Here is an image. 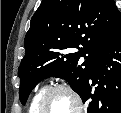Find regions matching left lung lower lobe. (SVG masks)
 Returning <instances> with one entry per match:
<instances>
[{
	"mask_svg": "<svg viewBox=\"0 0 121 113\" xmlns=\"http://www.w3.org/2000/svg\"><path fill=\"white\" fill-rule=\"evenodd\" d=\"M80 96L83 102L90 100L88 113H121V21L102 49Z\"/></svg>",
	"mask_w": 121,
	"mask_h": 113,
	"instance_id": "left-lung-lower-lobe-1",
	"label": "left lung lower lobe"
}]
</instances>
